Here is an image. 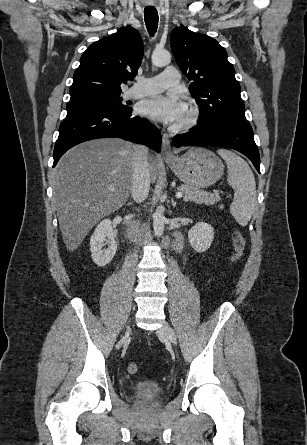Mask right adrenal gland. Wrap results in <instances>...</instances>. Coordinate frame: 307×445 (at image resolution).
I'll use <instances>...</instances> for the list:
<instances>
[{
    "instance_id": "1",
    "label": "right adrenal gland",
    "mask_w": 307,
    "mask_h": 445,
    "mask_svg": "<svg viewBox=\"0 0 307 445\" xmlns=\"http://www.w3.org/2000/svg\"><path fill=\"white\" fill-rule=\"evenodd\" d=\"M127 204H132V202H127Z\"/></svg>"
}]
</instances>
